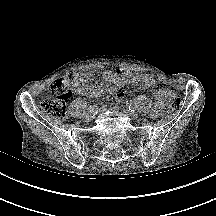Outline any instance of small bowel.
Wrapping results in <instances>:
<instances>
[{
  "label": "small bowel",
  "mask_w": 216,
  "mask_h": 216,
  "mask_svg": "<svg viewBox=\"0 0 216 216\" xmlns=\"http://www.w3.org/2000/svg\"><path fill=\"white\" fill-rule=\"evenodd\" d=\"M103 80L116 86H122L124 84H135L140 88L155 91L156 103L152 109V114L158 116L163 112L164 105L168 97V90L158 89L156 80L153 76L133 73L127 69H122L120 73L106 70L103 73ZM74 90L79 95L91 98L100 97L105 93H110L115 97V99L119 101L124 98V94L121 90L108 86L104 83L97 85H88L84 81L76 85Z\"/></svg>",
  "instance_id": "c3829d8e"
}]
</instances>
